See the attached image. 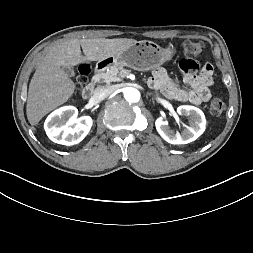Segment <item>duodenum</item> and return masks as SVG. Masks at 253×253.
I'll return each mask as SVG.
<instances>
[{
    "instance_id": "obj_1",
    "label": "duodenum",
    "mask_w": 253,
    "mask_h": 253,
    "mask_svg": "<svg viewBox=\"0 0 253 253\" xmlns=\"http://www.w3.org/2000/svg\"><path fill=\"white\" fill-rule=\"evenodd\" d=\"M101 72H102V68L97 67L91 81L82 90V97L84 99H89L92 96V93L95 89L96 83L100 78Z\"/></svg>"
}]
</instances>
